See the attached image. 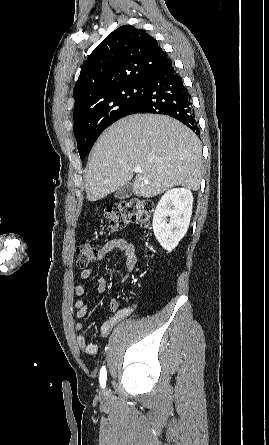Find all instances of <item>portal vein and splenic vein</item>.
I'll list each match as a JSON object with an SVG mask.
<instances>
[{
  "label": "portal vein and splenic vein",
  "instance_id": "obj_1",
  "mask_svg": "<svg viewBox=\"0 0 269 445\" xmlns=\"http://www.w3.org/2000/svg\"><path fill=\"white\" fill-rule=\"evenodd\" d=\"M134 171H135L136 173H140L142 170H141V167H135V168H134Z\"/></svg>",
  "mask_w": 269,
  "mask_h": 445
}]
</instances>
